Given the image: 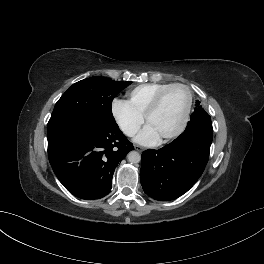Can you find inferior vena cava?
<instances>
[{
  "label": "inferior vena cava",
  "instance_id": "602c4592",
  "mask_svg": "<svg viewBox=\"0 0 264 264\" xmlns=\"http://www.w3.org/2000/svg\"><path fill=\"white\" fill-rule=\"evenodd\" d=\"M138 131L137 127L134 126H127L123 128V132L127 135V136H134Z\"/></svg>",
  "mask_w": 264,
  "mask_h": 264
}]
</instances>
